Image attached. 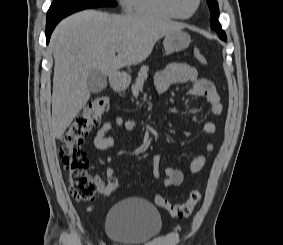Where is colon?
<instances>
[{
  "instance_id": "5ec220e1",
  "label": "colon",
  "mask_w": 283,
  "mask_h": 245,
  "mask_svg": "<svg viewBox=\"0 0 283 245\" xmlns=\"http://www.w3.org/2000/svg\"><path fill=\"white\" fill-rule=\"evenodd\" d=\"M194 57L201 64L206 65L207 59L198 49L194 50ZM109 99L105 96L91 100L74 118L62 137L59 148L63 165L68 173L69 190L78 202H92L96 197L97 184L95 178L88 173L89 162L82 145L88 133L99 125L102 115L109 109ZM119 187V181L113 177L108 179L103 196L108 197ZM201 200L199 190H192L186 201L172 204L166 198L155 195L157 206L166 209L175 218H186L192 214Z\"/></svg>"
}]
</instances>
